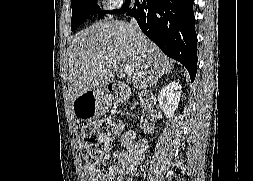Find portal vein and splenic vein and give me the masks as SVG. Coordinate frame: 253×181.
Returning <instances> with one entry per match:
<instances>
[{
	"instance_id": "1",
	"label": "portal vein and splenic vein",
	"mask_w": 253,
	"mask_h": 181,
	"mask_svg": "<svg viewBox=\"0 0 253 181\" xmlns=\"http://www.w3.org/2000/svg\"><path fill=\"white\" fill-rule=\"evenodd\" d=\"M122 70L126 75L131 76L134 72V67L131 64L122 63Z\"/></svg>"
}]
</instances>
